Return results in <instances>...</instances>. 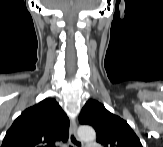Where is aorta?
I'll return each instance as SVG.
<instances>
[{
  "mask_svg": "<svg viewBox=\"0 0 163 147\" xmlns=\"http://www.w3.org/2000/svg\"><path fill=\"white\" fill-rule=\"evenodd\" d=\"M78 136L83 141L91 142L95 140L96 133L91 126L84 125L78 128Z\"/></svg>",
  "mask_w": 163,
  "mask_h": 147,
  "instance_id": "aorta-1",
  "label": "aorta"
}]
</instances>
